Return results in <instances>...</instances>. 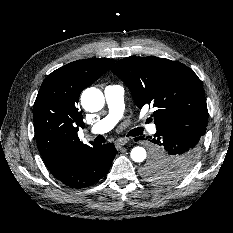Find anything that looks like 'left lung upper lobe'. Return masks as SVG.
Listing matches in <instances>:
<instances>
[{
    "mask_svg": "<svg viewBox=\"0 0 233 233\" xmlns=\"http://www.w3.org/2000/svg\"><path fill=\"white\" fill-rule=\"evenodd\" d=\"M111 71L125 82L138 108H155L156 129L189 126L206 131L208 110L200 79L184 64L155 56L119 60ZM150 161L143 170L146 178L169 183L185 177L192 167L173 169Z\"/></svg>",
    "mask_w": 233,
    "mask_h": 233,
    "instance_id": "5c2ea615",
    "label": "left lung upper lobe"
}]
</instances>
